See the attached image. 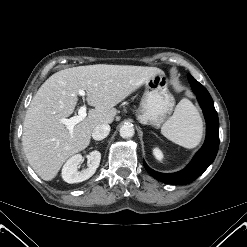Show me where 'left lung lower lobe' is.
I'll list each match as a JSON object with an SVG mask.
<instances>
[{
	"mask_svg": "<svg viewBox=\"0 0 247 247\" xmlns=\"http://www.w3.org/2000/svg\"><path fill=\"white\" fill-rule=\"evenodd\" d=\"M188 80L192 90L197 95L199 104L206 120V139L202 148L196 153L190 164L182 171L165 174L152 170L145 162L144 167L149 174L165 183L184 185L199 177L214 161L219 148V120L213 100L206 88L190 74Z\"/></svg>",
	"mask_w": 247,
	"mask_h": 247,
	"instance_id": "1",
	"label": "left lung lower lobe"
}]
</instances>
